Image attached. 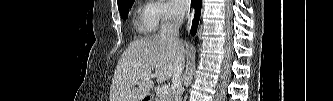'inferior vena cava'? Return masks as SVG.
Masks as SVG:
<instances>
[{
	"instance_id": "1",
	"label": "inferior vena cava",
	"mask_w": 333,
	"mask_h": 101,
	"mask_svg": "<svg viewBox=\"0 0 333 101\" xmlns=\"http://www.w3.org/2000/svg\"><path fill=\"white\" fill-rule=\"evenodd\" d=\"M183 11L172 12L170 17L162 21L160 36L167 40L174 51L175 63L173 70V101H181L182 72L185 65L184 46L179 39V28L184 20Z\"/></svg>"
}]
</instances>
